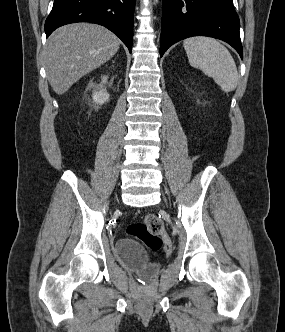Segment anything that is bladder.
I'll return each instance as SVG.
<instances>
[{"mask_svg":"<svg viewBox=\"0 0 285 332\" xmlns=\"http://www.w3.org/2000/svg\"><path fill=\"white\" fill-rule=\"evenodd\" d=\"M114 254L123 266L144 274H151L159 268L158 264L151 263L146 250L133 238L118 239L115 243Z\"/></svg>","mask_w":285,"mask_h":332,"instance_id":"obj_1","label":"bladder"}]
</instances>
